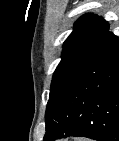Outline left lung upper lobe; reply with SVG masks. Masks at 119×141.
Returning a JSON list of instances; mask_svg holds the SVG:
<instances>
[{
  "mask_svg": "<svg viewBox=\"0 0 119 141\" xmlns=\"http://www.w3.org/2000/svg\"><path fill=\"white\" fill-rule=\"evenodd\" d=\"M74 27L64 43L62 60L53 74L49 99L88 66L98 54L109 33L107 21L93 14L83 15Z\"/></svg>",
  "mask_w": 119,
  "mask_h": 141,
  "instance_id": "obj_1",
  "label": "left lung upper lobe"
}]
</instances>
